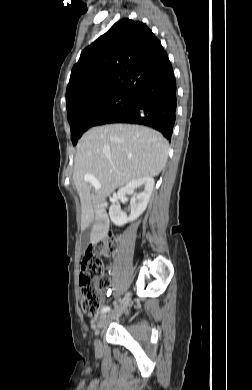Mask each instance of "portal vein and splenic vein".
<instances>
[{"label": "portal vein and splenic vein", "mask_w": 252, "mask_h": 390, "mask_svg": "<svg viewBox=\"0 0 252 390\" xmlns=\"http://www.w3.org/2000/svg\"><path fill=\"white\" fill-rule=\"evenodd\" d=\"M84 180L86 182H89L95 189L101 188L100 182L94 176H92L90 174H86L84 176Z\"/></svg>", "instance_id": "18ae733b"}]
</instances>
